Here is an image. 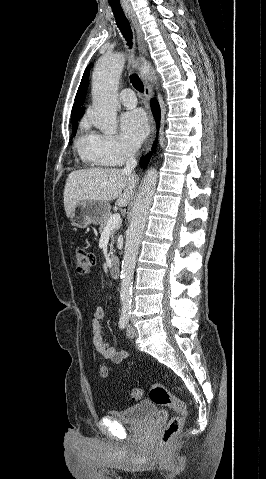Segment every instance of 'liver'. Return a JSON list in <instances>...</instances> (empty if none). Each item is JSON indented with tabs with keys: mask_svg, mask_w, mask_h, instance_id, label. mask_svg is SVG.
Returning a JSON list of instances; mask_svg holds the SVG:
<instances>
[{
	"mask_svg": "<svg viewBox=\"0 0 266 479\" xmlns=\"http://www.w3.org/2000/svg\"><path fill=\"white\" fill-rule=\"evenodd\" d=\"M138 177L121 169H82L68 175L64 189V208L67 217L76 204L85 200L112 201L124 207L134 197Z\"/></svg>",
	"mask_w": 266,
	"mask_h": 479,
	"instance_id": "6515ba94",
	"label": "liver"
}]
</instances>
